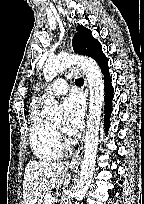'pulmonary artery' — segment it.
I'll return each instance as SVG.
<instances>
[{"instance_id":"obj_1","label":"pulmonary artery","mask_w":144,"mask_h":204,"mask_svg":"<svg viewBox=\"0 0 144 204\" xmlns=\"http://www.w3.org/2000/svg\"><path fill=\"white\" fill-rule=\"evenodd\" d=\"M69 89L68 83L64 78H59L46 90L47 93L58 96L65 94Z\"/></svg>"}]
</instances>
